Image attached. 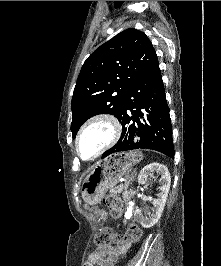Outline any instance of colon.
<instances>
[{"label":"colon","instance_id":"colon-1","mask_svg":"<svg viewBox=\"0 0 221 266\" xmlns=\"http://www.w3.org/2000/svg\"><path fill=\"white\" fill-rule=\"evenodd\" d=\"M103 203L109 209V212L112 215V217L119 218L121 216L122 207H121V202L118 198L112 195H107L104 197ZM141 234H142L141 229L137 225L131 223L125 235L117 234L113 230L106 228L102 229L95 236L94 242L99 248H104L112 242H116L119 244L122 243L124 240H128L134 243L139 240Z\"/></svg>","mask_w":221,"mask_h":266}]
</instances>
